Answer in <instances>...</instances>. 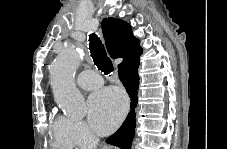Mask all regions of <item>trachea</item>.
Returning a JSON list of instances; mask_svg holds the SVG:
<instances>
[{
  "mask_svg": "<svg viewBox=\"0 0 227 149\" xmlns=\"http://www.w3.org/2000/svg\"><path fill=\"white\" fill-rule=\"evenodd\" d=\"M89 49L91 56L99 70L104 74H110L114 71L112 62L107 56L104 45L96 34L89 35Z\"/></svg>",
  "mask_w": 227,
  "mask_h": 149,
  "instance_id": "trachea-1",
  "label": "trachea"
}]
</instances>
